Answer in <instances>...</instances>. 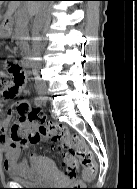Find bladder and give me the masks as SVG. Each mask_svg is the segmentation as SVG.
I'll return each mask as SVG.
<instances>
[{
  "label": "bladder",
  "instance_id": "31cf9c89",
  "mask_svg": "<svg viewBox=\"0 0 137 189\" xmlns=\"http://www.w3.org/2000/svg\"><path fill=\"white\" fill-rule=\"evenodd\" d=\"M9 178L23 185H48L59 178V171L50 157H40L25 172L11 171Z\"/></svg>",
  "mask_w": 137,
  "mask_h": 189
}]
</instances>
